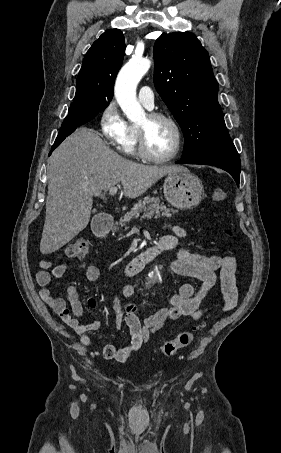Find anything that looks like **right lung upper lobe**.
Masks as SVG:
<instances>
[{"label": "right lung upper lobe", "mask_w": 281, "mask_h": 453, "mask_svg": "<svg viewBox=\"0 0 281 453\" xmlns=\"http://www.w3.org/2000/svg\"><path fill=\"white\" fill-rule=\"evenodd\" d=\"M125 55V39L118 29L105 31L83 59L71 108L90 105L105 109L113 97V83Z\"/></svg>", "instance_id": "1"}]
</instances>
